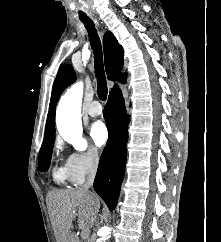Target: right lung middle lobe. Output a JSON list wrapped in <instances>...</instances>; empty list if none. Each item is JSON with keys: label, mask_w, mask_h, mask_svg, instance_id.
Instances as JSON below:
<instances>
[{"label": "right lung middle lobe", "mask_w": 221, "mask_h": 242, "mask_svg": "<svg viewBox=\"0 0 221 242\" xmlns=\"http://www.w3.org/2000/svg\"><path fill=\"white\" fill-rule=\"evenodd\" d=\"M54 140H55V137H50V138L44 139L42 143V146L39 152V159H38L39 170L41 172H45L49 168L52 149L54 146Z\"/></svg>", "instance_id": "1"}]
</instances>
